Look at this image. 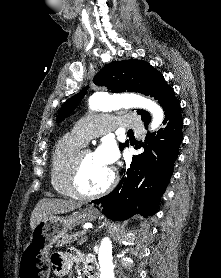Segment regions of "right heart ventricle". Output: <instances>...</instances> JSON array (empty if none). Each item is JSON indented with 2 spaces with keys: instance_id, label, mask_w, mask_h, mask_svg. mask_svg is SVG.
I'll use <instances>...</instances> for the list:
<instances>
[{
  "instance_id": "1",
  "label": "right heart ventricle",
  "mask_w": 221,
  "mask_h": 278,
  "mask_svg": "<svg viewBox=\"0 0 221 278\" xmlns=\"http://www.w3.org/2000/svg\"><path fill=\"white\" fill-rule=\"evenodd\" d=\"M83 145L84 142L73 134H67L54 147L50 164V181L56 193L62 197L77 198L69 187L68 171L73 157Z\"/></svg>"
}]
</instances>
